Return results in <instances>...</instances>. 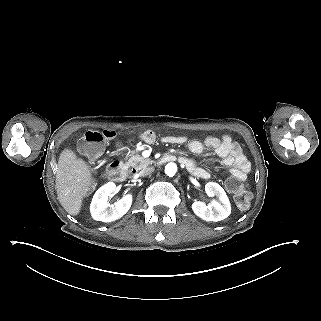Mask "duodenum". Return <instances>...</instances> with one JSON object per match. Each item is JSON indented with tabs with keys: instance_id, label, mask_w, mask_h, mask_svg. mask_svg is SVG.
<instances>
[{
	"instance_id": "1",
	"label": "duodenum",
	"mask_w": 321,
	"mask_h": 321,
	"mask_svg": "<svg viewBox=\"0 0 321 321\" xmlns=\"http://www.w3.org/2000/svg\"><path fill=\"white\" fill-rule=\"evenodd\" d=\"M176 157L173 154H166L159 160V163L164 164L175 161ZM183 162V158L180 159ZM107 174L113 181L122 182L126 178V171L123 164L119 160L112 161L107 167Z\"/></svg>"
}]
</instances>
